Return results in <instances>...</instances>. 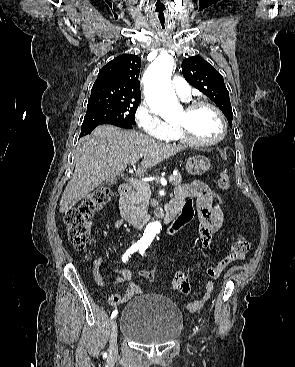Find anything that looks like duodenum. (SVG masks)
I'll list each match as a JSON object with an SVG mask.
<instances>
[{"label": "duodenum", "instance_id": "obj_1", "mask_svg": "<svg viewBox=\"0 0 295 367\" xmlns=\"http://www.w3.org/2000/svg\"><path fill=\"white\" fill-rule=\"evenodd\" d=\"M119 193V208L122 217L128 222L136 225L142 226L147 220L145 215L137 212L129 202V196L131 193V188L128 184L123 183L118 188ZM182 204L177 200H172L169 202L164 209L163 220L164 222H171L180 213Z\"/></svg>", "mask_w": 295, "mask_h": 367}]
</instances>
